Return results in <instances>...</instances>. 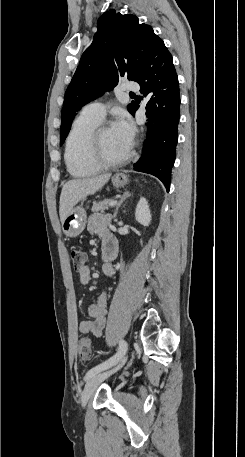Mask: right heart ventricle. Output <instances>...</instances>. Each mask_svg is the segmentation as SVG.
Listing matches in <instances>:
<instances>
[{"label": "right heart ventricle", "instance_id": "right-heart-ventricle-1", "mask_svg": "<svg viewBox=\"0 0 245 457\" xmlns=\"http://www.w3.org/2000/svg\"><path fill=\"white\" fill-rule=\"evenodd\" d=\"M99 122V119L80 115L71 126L66 139L65 160L67 168L73 176H86L95 172V169L82 161L81 153L83 151L85 136Z\"/></svg>", "mask_w": 245, "mask_h": 457}]
</instances>
